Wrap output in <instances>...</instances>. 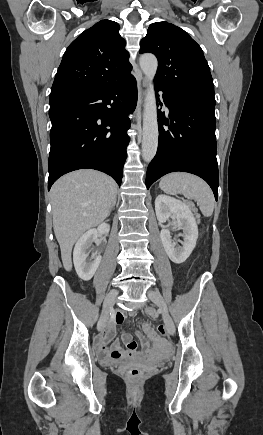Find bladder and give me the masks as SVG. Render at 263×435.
<instances>
[{
  "label": "bladder",
  "instance_id": "obj_1",
  "mask_svg": "<svg viewBox=\"0 0 263 435\" xmlns=\"http://www.w3.org/2000/svg\"><path fill=\"white\" fill-rule=\"evenodd\" d=\"M109 363H115L114 361H109Z\"/></svg>",
  "mask_w": 263,
  "mask_h": 435
}]
</instances>
